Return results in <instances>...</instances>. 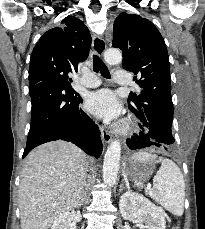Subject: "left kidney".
I'll return each mask as SVG.
<instances>
[{"label":"left kidney","mask_w":205,"mask_h":229,"mask_svg":"<svg viewBox=\"0 0 205 229\" xmlns=\"http://www.w3.org/2000/svg\"><path fill=\"white\" fill-rule=\"evenodd\" d=\"M119 209L125 220L136 219L139 228L165 229L162 210L141 194L125 192L120 197Z\"/></svg>","instance_id":"obj_1"}]
</instances>
